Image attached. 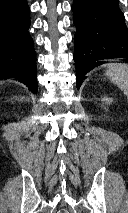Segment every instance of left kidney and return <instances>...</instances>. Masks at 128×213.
Listing matches in <instances>:
<instances>
[{
	"label": "left kidney",
	"mask_w": 128,
	"mask_h": 213,
	"mask_svg": "<svg viewBox=\"0 0 128 213\" xmlns=\"http://www.w3.org/2000/svg\"><path fill=\"white\" fill-rule=\"evenodd\" d=\"M102 102H105V104L108 105V104H110L112 102V100L109 99V98L104 97V98H102Z\"/></svg>",
	"instance_id": "5707ae66"
}]
</instances>
